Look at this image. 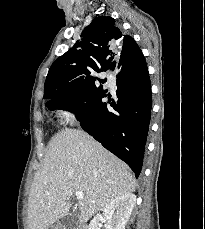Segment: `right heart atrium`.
Instances as JSON below:
<instances>
[{"label": "right heart atrium", "mask_w": 205, "mask_h": 229, "mask_svg": "<svg viewBox=\"0 0 205 229\" xmlns=\"http://www.w3.org/2000/svg\"><path fill=\"white\" fill-rule=\"evenodd\" d=\"M58 112L64 120L71 124H74L78 119L77 108L72 104H66L59 107Z\"/></svg>", "instance_id": "obj_1"}]
</instances>
